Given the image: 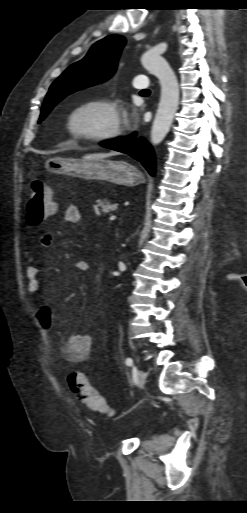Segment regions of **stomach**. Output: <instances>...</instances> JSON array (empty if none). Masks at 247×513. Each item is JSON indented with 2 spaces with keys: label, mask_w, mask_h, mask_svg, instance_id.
I'll return each mask as SVG.
<instances>
[{
  "label": "stomach",
  "mask_w": 247,
  "mask_h": 513,
  "mask_svg": "<svg viewBox=\"0 0 247 513\" xmlns=\"http://www.w3.org/2000/svg\"><path fill=\"white\" fill-rule=\"evenodd\" d=\"M45 168L52 173H63L88 180L107 181L124 186L143 182L142 173L125 161L100 159L51 158Z\"/></svg>",
  "instance_id": "stomach-1"
}]
</instances>
